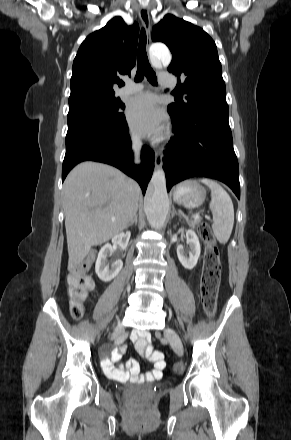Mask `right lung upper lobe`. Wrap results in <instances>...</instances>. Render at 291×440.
<instances>
[{"instance_id":"right-lung-upper-lobe-1","label":"right lung upper lobe","mask_w":291,"mask_h":440,"mask_svg":"<svg viewBox=\"0 0 291 440\" xmlns=\"http://www.w3.org/2000/svg\"><path fill=\"white\" fill-rule=\"evenodd\" d=\"M139 26H128L114 17L106 26L90 34L81 44L73 62L69 101L86 96L114 95L113 86L124 82L136 62Z\"/></svg>"}]
</instances>
